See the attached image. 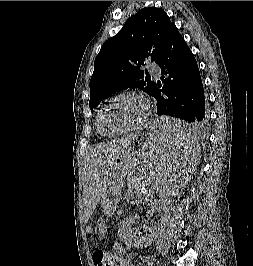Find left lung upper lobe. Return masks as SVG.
<instances>
[{"label":"left lung upper lobe","instance_id":"left-lung-upper-lobe-1","mask_svg":"<svg viewBox=\"0 0 253 266\" xmlns=\"http://www.w3.org/2000/svg\"><path fill=\"white\" fill-rule=\"evenodd\" d=\"M175 27L168 15L155 7L131 16L117 35L102 45L95 58L90 80L91 111L106 97L128 88H138L152 96L155 83L144 78L140 68L147 59L157 62Z\"/></svg>","mask_w":253,"mask_h":266}]
</instances>
